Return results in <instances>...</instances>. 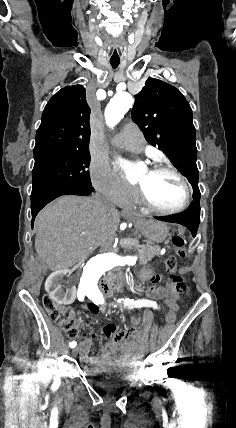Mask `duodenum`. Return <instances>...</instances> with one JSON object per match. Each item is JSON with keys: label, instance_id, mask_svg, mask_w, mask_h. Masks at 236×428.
<instances>
[{"label": "duodenum", "instance_id": "duodenum-1", "mask_svg": "<svg viewBox=\"0 0 236 428\" xmlns=\"http://www.w3.org/2000/svg\"><path fill=\"white\" fill-rule=\"evenodd\" d=\"M124 289V283L116 282L112 278H106L102 280L99 293L102 295L103 299H111L118 296Z\"/></svg>", "mask_w": 236, "mask_h": 428}]
</instances>
